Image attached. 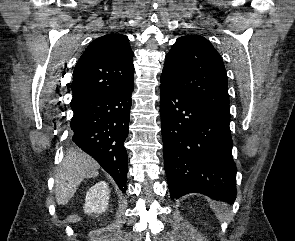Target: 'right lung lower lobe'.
Wrapping results in <instances>:
<instances>
[{"label":"right lung lower lobe","instance_id":"1","mask_svg":"<svg viewBox=\"0 0 295 241\" xmlns=\"http://www.w3.org/2000/svg\"><path fill=\"white\" fill-rule=\"evenodd\" d=\"M133 88L134 83L71 105L72 140L97 160L122 192L126 191L128 160L124 141L128 136Z\"/></svg>","mask_w":295,"mask_h":241}]
</instances>
